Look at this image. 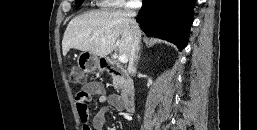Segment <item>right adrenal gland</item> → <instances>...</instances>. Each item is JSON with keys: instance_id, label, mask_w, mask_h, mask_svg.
Segmentation results:
<instances>
[{"instance_id": "2a0ac1e0", "label": "right adrenal gland", "mask_w": 257, "mask_h": 130, "mask_svg": "<svg viewBox=\"0 0 257 130\" xmlns=\"http://www.w3.org/2000/svg\"><path fill=\"white\" fill-rule=\"evenodd\" d=\"M139 50H140V48L137 51L136 64L138 63V60L140 59Z\"/></svg>"}]
</instances>
